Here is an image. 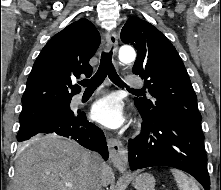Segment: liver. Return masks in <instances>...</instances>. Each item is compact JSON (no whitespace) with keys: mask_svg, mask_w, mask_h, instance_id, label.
Wrapping results in <instances>:
<instances>
[{"mask_svg":"<svg viewBox=\"0 0 221 190\" xmlns=\"http://www.w3.org/2000/svg\"><path fill=\"white\" fill-rule=\"evenodd\" d=\"M92 154L55 135L34 137L18 150L14 190H86ZM111 174L112 169L104 163L103 186L109 185Z\"/></svg>","mask_w":221,"mask_h":190,"instance_id":"1","label":"liver"}]
</instances>
